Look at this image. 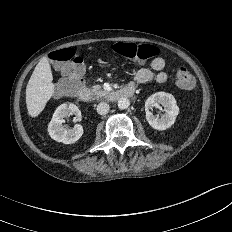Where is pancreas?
<instances>
[{
  "label": "pancreas",
  "mask_w": 232,
  "mask_h": 232,
  "mask_svg": "<svg viewBox=\"0 0 232 232\" xmlns=\"http://www.w3.org/2000/svg\"><path fill=\"white\" fill-rule=\"evenodd\" d=\"M92 95L95 98H101L109 94L108 91L102 90L100 85H95L91 89Z\"/></svg>",
  "instance_id": "pancreas-1"
}]
</instances>
